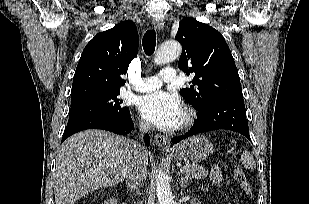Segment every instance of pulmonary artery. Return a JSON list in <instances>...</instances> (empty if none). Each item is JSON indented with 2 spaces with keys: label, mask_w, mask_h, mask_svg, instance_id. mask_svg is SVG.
<instances>
[{
  "label": "pulmonary artery",
  "mask_w": 309,
  "mask_h": 204,
  "mask_svg": "<svg viewBox=\"0 0 309 204\" xmlns=\"http://www.w3.org/2000/svg\"><path fill=\"white\" fill-rule=\"evenodd\" d=\"M176 71L173 68L165 69L160 76L145 77L140 79L134 89L138 92H150L160 88L165 82H172L176 79Z\"/></svg>",
  "instance_id": "pulmonary-artery-1"
}]
</instances>
